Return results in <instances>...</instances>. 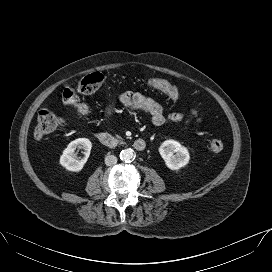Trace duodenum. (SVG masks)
<instances>
[{
  "label": "duodenum",
  "mask_w": 272,
  "mask_h": 272,
  "mask_svg": "<svg viewBox=\"0 0 272 272\" xmlns=\"http://www.w3.org/2000/svg\"><path fill=\"white\" fill-rule=\"evenodd\" d=\"M96 137L97 140L105 147L116 148L118 146L116 138L107 132H99ZM133 147L137 151H143L146 148V141L144 139H137L134 141Z\"/></svg>",
  "instance_id": "duodenum-1"
}]
</instances>
